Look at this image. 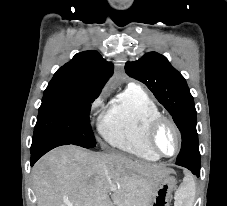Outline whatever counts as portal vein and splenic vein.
I'll return each mask as SVG.
<instances>
[{
  "label": "portal vein and splenic vein",
  "instance_id": "1",
  "mask_svg": "<svg viewBox=\"0 0 227 206\" xmlns=\"http://www.w3.org/2000/svg\"><path fill=\"white\" fill-rule=\"evenodd\" d=\"M114 189H115V186L110 187V190H114ZM68 206H72V205L69 204Z\"/></svg>",
  "mask_w": 227,
  "mask_h": 206
}]
</instances>
